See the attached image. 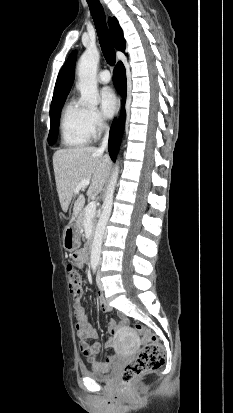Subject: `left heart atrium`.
<instances>
[{
  "label": "left heart atrium",
  "instance_id": "left-heart-atrium-1",
  "mask_svg": "<svg viewBox=\"0 0 233 413\" xmlns=\"http://www.w3.org/2000/svg\"><path fill=\"white\" fill-rule=\"evenodd\" d=\"M100 103L102 113L105 117L109 118L115 114L118 107V100L111 88L105 87L101 90Z\"/></svg>",
  "mask_w": 233,
  "mask_h": 413
}]
</instances>
